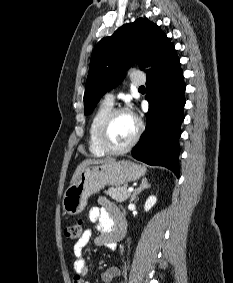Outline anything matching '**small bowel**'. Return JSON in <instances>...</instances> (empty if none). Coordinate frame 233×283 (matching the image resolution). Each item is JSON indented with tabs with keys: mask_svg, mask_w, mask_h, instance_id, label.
Listing matches in <instances>:
<instances>
[{
	"mask_svg": "<svg viewBox=\"0 0 233 283\" xmlns=\"http://www.w3.org/2000/svg\"><path fill=\"white\" fill-rule=\"evenodd\" d=\"M100 207H92L89 211V219L95 224V231L98 235L94 238V245L105 246L110 250H115L116 239L115 235L120 222L124 223L121 211L111 202L101 199ZM92 229H86L80 239L75 243L74 252V278L73 283H88L84 280V276L88 272V263L84 257V249L90 243L93 236ZM119 275L117 267H111L105 270L102 275L104 283H112Z\"/></svg>",
	"mask_w": 233,
	"mask_h": 283,
	"instance_id": "small-bowel-1",
	"label": "small bowel"
}]
</instances>
